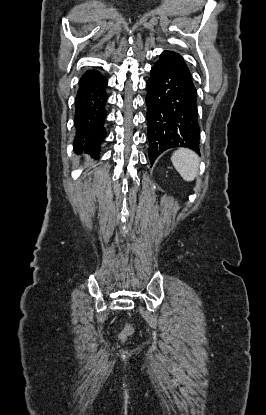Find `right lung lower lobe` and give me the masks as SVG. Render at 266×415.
<instances>
[{
  "label": "right lung lower lobe",
  "mask_w": 266,
  "mask_h": 415,
  "mask_svg": "<svg viewBox=\"0 0 266 415\" xmlns=\"http://www.w3.org/2000/svg\"><path fill=\"white\" fill-rule=\"evenodd\" d=\"M107 79L96 70H88L81 77L75 98L74 150L98 157L100 145L106 137Z\"/></svg>",
  "instance_id": "obj_1"
}]
</instances>
